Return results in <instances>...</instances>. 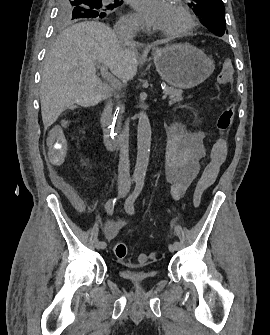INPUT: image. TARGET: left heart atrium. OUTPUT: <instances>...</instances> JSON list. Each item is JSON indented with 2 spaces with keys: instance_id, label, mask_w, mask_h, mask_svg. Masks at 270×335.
Returning <instances> with one entry per match:
<instances>
[{
  "instance_id": "1",
  "label": "left heart atrium",
  "mask_w": 270,
  "mask_h": 335,
  "mask_svg": "<svg viewBox=\"0 0 270 335\" xmlns=\"http://www.w3.org/2000/svg\"><path fill=\"white\" fill-rule=\"evenodd\" d=\"M134 7L143 18L149 36L175 31L173 22L176 11L167 1L135 0Z\"/></svg>"
}]
</instances>
